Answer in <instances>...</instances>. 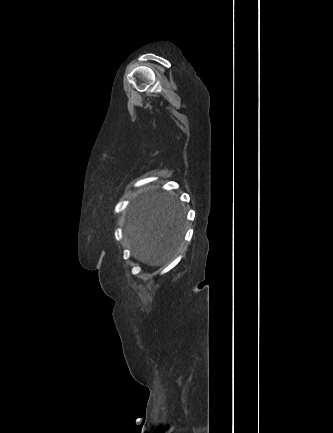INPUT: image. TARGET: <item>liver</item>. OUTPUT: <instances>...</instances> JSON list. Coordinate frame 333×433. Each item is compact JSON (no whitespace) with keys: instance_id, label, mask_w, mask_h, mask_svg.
Listing matches in <instances>:
<instances>
[{"instance_id":"obj_1","label":"liver","mask_w":333,"mask_h":433,"mask_svg":"<svg viewBox=\"0 0 333 433\" xmlns=\"http://www.w3.org/2000/svg\"><path fill=\"white\" fill-rule=\"evenodd\" d=\"M124 233L134 258L152 266L165 264L183 241V209L173 193L151 189L129 207Z\"/></svg>"}]
</instances>
